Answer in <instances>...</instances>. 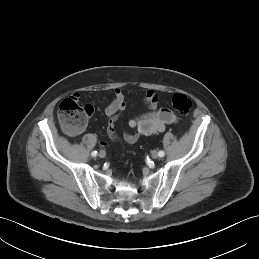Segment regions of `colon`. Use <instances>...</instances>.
I'll use <instances>...</instances> for the list:
<instances>
[{"label":"colon","instance_id":"colon-1","mask_svg":"<svg viewBox=\"0 0 259 259\" xmlns=\"http://www.w3.org/2000/svg\"><path fill=\"white\" fill-rule=\"evenodd\" d=\"M172 106L179 114L186 115L191 110L192 102L185 94L176 93L172 98ZM57 113L61 126L67 132L75 134L83 130L91 110L87 105L80 104L74 96H70L60 102Z\"/></svg>","mask_w":259,"mask_h":259}]
</instances>
